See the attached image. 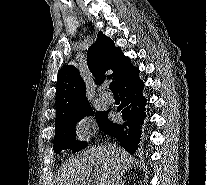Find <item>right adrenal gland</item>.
<instances>
[{
	"label": "right adrenal gland",
	"mask_w": 207,
	"mask_h": 185,
	"mask_svg": "<svg viewBox=\"0 0 207 185\" xmlns=\"http://www.w3.org/2000/svg\"><path fill=\"white\" fill-rule=\"evenodd\" d=\"M126 181H120V185H125Z\"/></svg>",
	"instance_id": "obj_1"
}]
</instances>
